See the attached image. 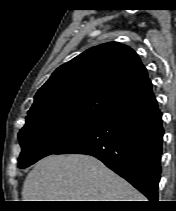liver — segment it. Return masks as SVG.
<instances>
[{
	"instance_id": "6515ba94",
	"label": "liver",
	"mask_w": 176,
	"mask_h": 211,
	"mask_svg": "<svg viewBox=\"0 0 176 211\" xmlns=\"http://www.w3.org/2000/svg\"><path fill=\"white\" fill-rule=\"evenodd\" d=\"M23 201H144V196L98 159L50 155L24 181Z\"/></svg>"
}]
</instances>
